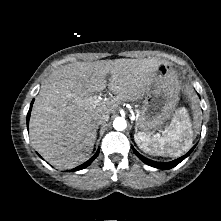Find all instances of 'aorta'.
Listing matches in <instances>:
<instances>
[{
	"label": "aorta",
	"instance_id": "1",
	"mask_svg": "<svg viewBox=\"0 0 221 221\" xmlns=\"http://www.w3.org/2000/svg\"><path fill=\"white\" fill-rule=\"evenodd\" d=\"M113 127L115 130L117 131H122L127 127V123L126 120L122 117H117L114 121H113Z\"/></svg>",
	"mask_w": 221,
	"mask_h": 221
}]
</instances>
